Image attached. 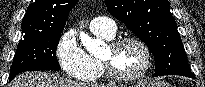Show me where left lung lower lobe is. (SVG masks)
Segmentation results:
<instances>
[{
	"label": "left lung lower lobe",
	"mask_w": 205,
	"mask_h": 87,
	"mask_svg": "<svg viewBox=\"0 0 205 87\" xmlns=\"http://www.w3.org/2000/svg\"><path fill=\"white\" fill-rule=\"evenodd\" d=\"M186 77H190V78H195L194 74L191 72V73H187L185 75Z\"/></svg>",
	"instance_id": "1"
}]
</instances>
